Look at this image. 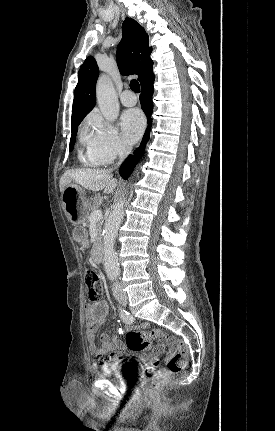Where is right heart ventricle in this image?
<instances>
[{
  "mask_svg": "<svg viewBox=\"0 0 275 431\" xmlns=\"http://www.w3.org/2000/svg\"><path fill=\"white\" fill-rule=\"evenodd\" d=\"M90 164H92V165H100V164H95V163H91V162H90Z\"/></svg>",
  "mask_w": 275,
  "mask_h": 431,
  "instance_id": "1",
  "label": "right heart ventricle"
}]
</instances>
